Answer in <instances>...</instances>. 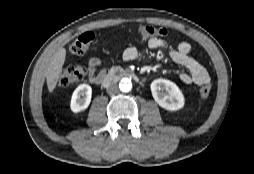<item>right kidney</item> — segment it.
Masks as SVG:
<instances>
[{"label":"right kidney","mask_w":254,"mask_h":174,"mask_svg":"<svg viewBox=\"0 0 254 174\" xmlns=\"http://www.w3.org/2000/svg\"><path fill=\"white\" fill-rule=\"evenodd\" d=\"M92 88L88 84L79 85L73 92L70 108L73 112H80L88 108L91 102Z\"/></svg>","instance_id":"right-kidney-1"}]
</instances>
